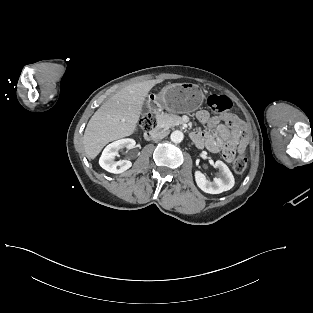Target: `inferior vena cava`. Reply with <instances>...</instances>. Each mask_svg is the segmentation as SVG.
Segmentation results:
<instances>
[{
	"label": "inferior vena cava",
	"mask_w": 313,
	"mask_h": 313,
	"mask_svg": "<svg viewBox=\"0 0 313 313\" xmlns=\"http://www.w3.org/2000/svg\"><path fill=\"white\" fill-rule=\"evenodd\" d=\"M168 133H169L168 130L155 131L153 134V139L154 140L163 139L168 135Z\"/></svg>",
	"instance_id": "602c4592"
}]
</instances>
